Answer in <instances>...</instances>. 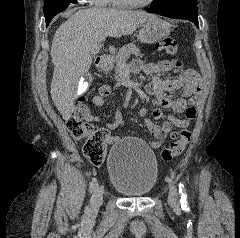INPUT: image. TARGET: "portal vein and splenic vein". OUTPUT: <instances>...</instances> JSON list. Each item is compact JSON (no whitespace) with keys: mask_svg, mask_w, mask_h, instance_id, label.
I'll list each match as a JSON object with an SVG mask.
<instances>
[{"mask_svg":"<svg viewBox=\"0 0 240 238\" xmlns=\"http://www.w3.org/2000/svg\"><path fill=\"white\" fill-rule=\"evenodd\" d=\"M100 48H101V45L92 47V49H91L92 54H97L99 52Z\"/></svg>","mask_w":240,"mask_h":238,"instance_id":"portal-vein-and-splenic-vein-1","label":"portal vein and splenic vein"}]
</instances>
